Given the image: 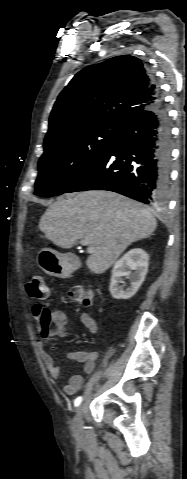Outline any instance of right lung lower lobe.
<instances>
[{"label": "right lung lower lobe", "instance_id": "98d812e1", "mask_svg": "<svg viewBox=\"0 0 187 479\" xmlns=\"http://www.w3.org/2000/svg\"><path fill=\"white\" fill-rule=\"evenodd\" d=\"M170 166V122L160 98L129 119L106 152L65 192L109 190L146 204H161L169 190Z\"/></svg>", "mask_w": 187, "mask_h": 479}]
</instances>
